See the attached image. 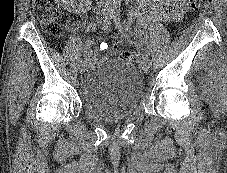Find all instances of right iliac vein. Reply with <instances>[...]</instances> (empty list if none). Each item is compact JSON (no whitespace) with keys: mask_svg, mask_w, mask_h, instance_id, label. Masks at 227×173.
Wrapping results in <instances>:
<instances>
[{"mask_svg":"<svg viewBox=\"0 0 227 173\" xmlns=\"http://www.w3.org/2000/svg\"><path fill=\"white\" fill-rule=\"evenodd\" d=\"M98 16H99V19L104 20L105 18L110 16V11H100L98 13ZM86 68H87V63L82 62L81 65H80V73L83 74L85 72Z\"/></svg>","mask_w":227,"mask_h":173,"instance_id":"right-iliac-vein-1","label":"right iliac vein"}]
</instances>
